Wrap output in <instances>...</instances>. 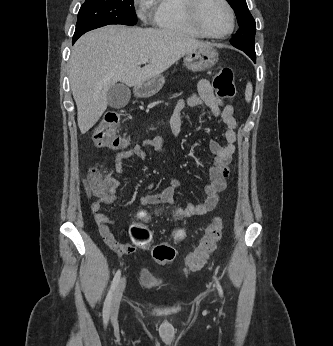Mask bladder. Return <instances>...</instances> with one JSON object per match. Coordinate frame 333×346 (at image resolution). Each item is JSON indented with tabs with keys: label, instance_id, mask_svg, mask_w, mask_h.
Masks as SVG:
<instances>
[{
	"label": "bladder",
	"instance_id": "31cf9c89",
	"mask_svg": "<svg viewBox=\"0 0 333 346\" xmlns=\"http://www.w3.org/2000/svg\"><path fill=\"white\" fill-rule=\"evenodd\" d=\"M140 285L148 290L157 289L159 287L158 280L154 276L153 272L147 267H144L141 270Z\"/></svg>",
	"mask_w": 333,
	"mask_h": 346
}]
</instances>
